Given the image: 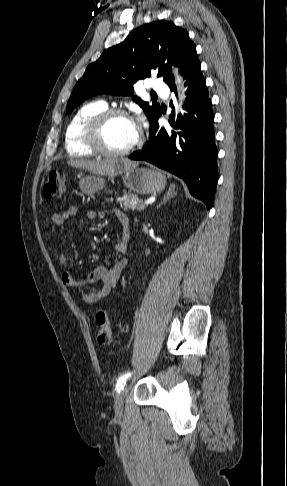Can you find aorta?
<instances>
[{
    "mask_svg": "<svg viewBox=\"0 0 287 486\" xmlns=\"http://www.w3.org/2000/svg\"><path fill=\"white\" fill-rule=\"evenodd\" d=\"M175 75H176V83L178 84L179 88H181V90H182L183 89V87H182V78L178 75L177 70L175 72ZM182 100H183V96L180 97V101H181L180 105L182 104Z\"/></svg>",
    "mask_w": 287,
    "mask_h": 486,
    "instance_id": "obj_1",
    "label": "aorta"
}]
</instances>
